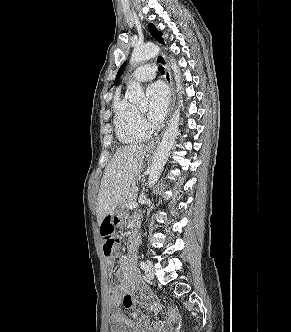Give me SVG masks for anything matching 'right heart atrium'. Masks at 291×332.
<instances>
[{
	"instance_id": "obj_1",
	"label": "right heart atrium",
	"mask_w": 291,
	"mask_h": 332,
	"mask_svg": "<svg viewBox=\"0 0 291 332\" xmlns=\"http://www.w3.org/2000/svg\"><path fill=\"white\" fill-rule=\"evenodd\" d=\"M140 122H141L142 125L145 124L143 119H140Z\"/></svg>"
}]
</instances>
